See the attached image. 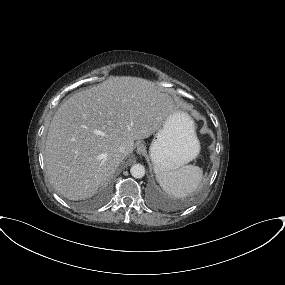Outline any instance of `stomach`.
<instances>
[{
    "label": "stomach",
    "mask_w": 285,
    "mask_h": 285,
    "mask_svg": "<svg viewBox=\"0 0 285 285\" xmlns=\"http://www.w3.org/2000/svg\"><path fill=\"white\" fill-rule=\"evenodd\" d=\"M199 150L193 121L179 112L156 133L149 153L155 171L167 172L189 163Z\"/></svg>",
    "instance_id": "1"
}]
</instances>
